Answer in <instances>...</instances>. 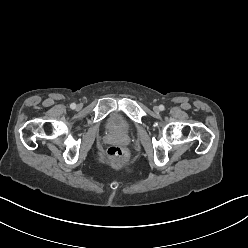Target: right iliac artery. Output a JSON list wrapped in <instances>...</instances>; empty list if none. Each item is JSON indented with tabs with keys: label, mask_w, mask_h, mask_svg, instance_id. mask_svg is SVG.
Wrapping results in <instances>:
<instances>
[{
	"label": "right iliac artery",
	"mask_w": 248,
	"mask_h": 248,
	"mask_svg": "<svg viewBox=\"0 0 248 248\" xmlns=\"http://www.w3.org/2000/svg\"><path fill=\"white\" fill-rule=\"evenodd\" d=\"M75 107H76V104H75V103H72V104L70 105V108H71V109H75Z\"/></svg>",
	"instance_id": "1"
}]
</instances>
